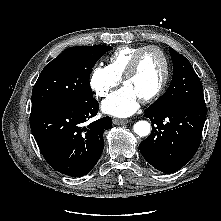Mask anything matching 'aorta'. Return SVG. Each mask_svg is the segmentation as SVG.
<instances>
[{"mask_svg":"<svg viewBox=\"0 0 221 221\" xmlns=\"http://www.w3.org/2000/svg\"><path fill=\"white\" fill-rule=\"evenodd\" d=\"M150 129H151L150 123L143 120L138 121L133 126L134 132L141 137L149 135Z\"/></svg>","mask_w":221,"mask_h":221,"instance_id":"1","label":"aorta"}]
</instances>
